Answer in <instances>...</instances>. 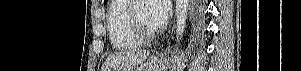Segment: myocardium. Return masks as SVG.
Instances as JSON below:
<instances>
[{"instance_id": "1", "label": "myocardium", "mask_w": 301, "mask_h": 71, "mask_svg": "<svg viewBox=\"0 0 301 71\" xmlns=\"http://www.w3.org/2000/svg\"><path fill=\"white\" fill-rule=\"evenodd\" d=\"M143 0H132L128 8V22L133 34L141 41H149L155 38L159 31L146 29L137 17V5Z\"/></svg>"}]
</instances>
